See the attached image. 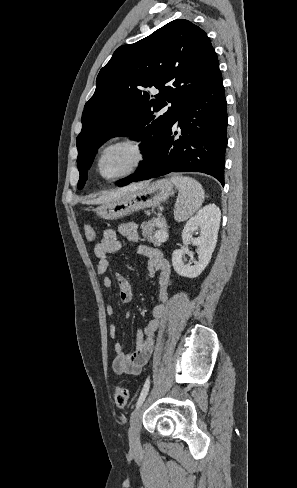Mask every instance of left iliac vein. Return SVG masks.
<instances>
[{
	"instance_id": "obj_1",
	"label": "left iliac vein",
	"mask_w": 297,
	"mask_h": 488,
	"mask_svg": "<svg viewBox=\"0 0 297 488\" xmlns=\"http://www.w3.org/2000/svg\"><path fill=\"white\" fill-rule=\"evenodd\" d=\"M143 407L142 405L133 411L130 418V428H129V444L130 450L134 453L140 450V426L142 418Z\"/></svg>"
}]
</instances>
